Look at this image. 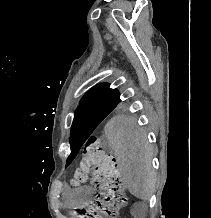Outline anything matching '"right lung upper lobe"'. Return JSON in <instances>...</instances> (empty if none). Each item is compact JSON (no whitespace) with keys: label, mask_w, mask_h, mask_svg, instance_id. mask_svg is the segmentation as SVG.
I'll return each mask as SVG.
<instances>
[{"label":"right lung upper lobe","mask_w":211,"mask_h":218,"mask_svg":"<svg viewBox=\"0 0 211 218\" xmlns=\"http://www.w3.org/2000/svg\"><path fill=\"white\" fill-rule=\"evenodd\" d=\"M100 101L112 102L121 100L117 90L110 89L109 84H100L87 92L80 101V104Z\"/></svg>","instance_id":"cb5924a9"}]
</instances>
